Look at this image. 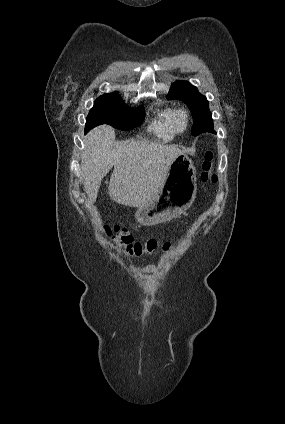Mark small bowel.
<instances>
[{
    "instance_id": "c3829d8e",
    "label": "small bowel",
    "mask_w": 285,
    "mask_h": 424,
    "mask_svg": "<svg viewBox=\"0 0 285 424\" xmlns=\"http://www.w3.org/2000/svg\"><path fill=\"white\" fill-rule=\"evenodd\" d=\"M156 271L155 266L153 265H148L145 267H139L135 269V272L140 273V274H152Z\"/></svg>"
}]
</instances>
